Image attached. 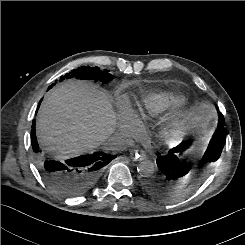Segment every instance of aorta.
<instances>
[{
  "label": "aorta",
  "instance_id": "aorta-1",
  "mask_svg": "<svg viewBox=\"0 0 245 245\" xmlns=\"http://www.w3.org/2000/svg\"><path fill=\"white\" fill-rule=\"evenodd\" d=\"M137 170L141 176L149 177L154 173L155 166L152 161L144 160L139 163Z\"/></svg>",
  "mask_w": 245,
  "mask_h": 245
}]
</instances>
